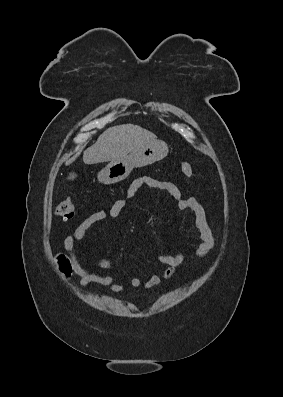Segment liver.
Here are the masks:
<instances>
[{
	"label": "liver",
	"instance_id": "liver-1",
	"mask_svg": "<svg viewBox=\"0 0 283 397\" xmlns=\"http://www.w3.org/2000/svg\"><path fill=\"white\" fill-rule=\"evenodd\" d=\"M152 132L133 124H123L106 129L95 144L83 153V162L87 165L125 158L137 146L156 141ZM76 155L72 160L77 158Z\"/></svg>",
	"mask_w": 283,
	"mask_h": 397
}]
</instances>
